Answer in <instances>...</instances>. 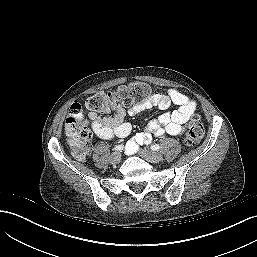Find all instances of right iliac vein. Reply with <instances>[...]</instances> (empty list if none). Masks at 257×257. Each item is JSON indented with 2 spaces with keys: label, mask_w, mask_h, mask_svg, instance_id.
<instances>
[{
  "label": "right iliac vein",
  "mask_w": 257,
  "mask_h": 257,
  "mask_svg": "<svg viewBox=\"0 0 257 257\" xmlns=\"http://www.w3.org/2000/svg\"><path fill=\"white\" fill-rule=\"evenodd\" d=\"M110 160L112 163H118L121 160V154L118 151L113 152Z\"/></svg>",
  "instance_id": "right-iliac-vein-1"
}]
</instances>
